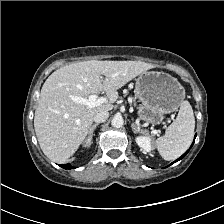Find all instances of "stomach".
Returning a JSON list of instances; mask_svg holds the SVG:
<instances>
[{
	"mask_svg": "<svg viewBox=\"0 0 224 224\" xmlns=\"http://www.w3.org/2000/svg\"><path fill=\"white\" fill-rule=\"evenodd\" d=\"M135 92L141 101L139 118L151 124H160L165 114L176 111L185 98V89L178 80L158 71L140 74Z\"/></svg>",
	"mask_w": 224,
	"mask_h": 224,
	"instance_id": "obj_1",
	"label": "stomach"
}]
</instances>
